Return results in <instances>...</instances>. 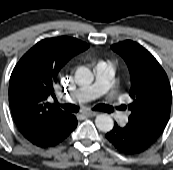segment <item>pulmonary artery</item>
<instances>
[{"label": "pulmonary artery", "instance_id": "e3ab8cb5", "mask_svg": "<svg viewBox=\"0 0 173 170\" xmlns=\"http://www.w3.org/2000/svg\"><path fill=\"white\" fill-rule=\"evenodd\" d=\"M114 73V69L109 64L104 62L98 63L95 68L94 82L90 85L74 90L71 93L72 100L74 102L83 103L101 96H105L109 92ZM110 101L114 107L112 112L115 119L118 121H124L126 119V113L121 109L116 108L117 106L114 98H112Z\"/></svg>", "mask_w": 173, "mask_h": 170}]
</instances>
